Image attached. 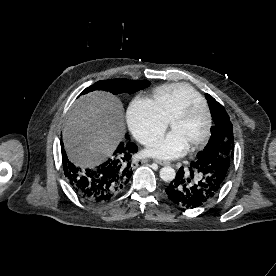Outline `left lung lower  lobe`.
Here are the masks:
<instances>
[{"instance_id": "obj_1", "label": "left lung lower lobe", "mask_w": 276, "mask_h": 276, "mask_svg": "<svg viewBox=\"0 0 276 276\" xmlns=\"http://www.w3.org/2000/svg\"><path fill=\"white\" fill-rule=\"evenodd\" d=\"M203 161L198 159L191 162L188 170L181 167L176 178L167 186L168 198L176 205L193 209L215 197L223 186L222 177L210 172Z\"/></svg>"}]
</instances>
